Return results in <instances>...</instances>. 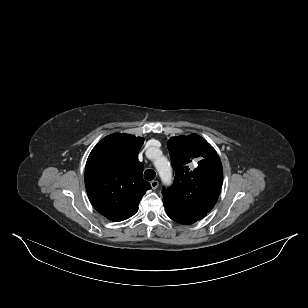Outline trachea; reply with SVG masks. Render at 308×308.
Returning <instances> with one entry per match:
<instances>
[{"mask_svg": "<svg viewBox=\"0 0 308 308\" xmlns=\"http://www.w3.org/2000/svg\"><path fill=\"white\" fill-rule=\"evenodd\" d=\"M156 176V173L155 171L151 170V169H148L144 172V178L147 180V181H152Z\"/></svg>", "mask_w": 308, "mask_h": 308, "instance_id": "3493384b", "label": "trachea"}]
</instances>
